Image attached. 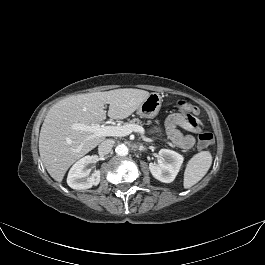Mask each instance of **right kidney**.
Wrapping results in <instances>:
<instances>
[{
  "instance_id": "ca27d5eb",
  "label": "right kidney",
  "mask_w": 265,
  "mask_h": 265,
  "mask_svg": "<svg viewBox=\"0 0 265 265\" xmlns=\"http://www.w3.org/2000/svg\"><path fill=\"white\" fill-rule=\"evenodd\" d=\"M93 161L92 156H85L78 160L70 169L67 177V184L76 190H84L97 186L100 183L101 174L99 170H95L90 176L91 170L88 165Z\"/></svg>"
}]
</instances>
